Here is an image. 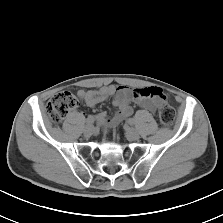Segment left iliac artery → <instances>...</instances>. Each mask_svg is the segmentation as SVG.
<instances>
[{
    "label": "left iliac artery",
    "mask_w": 223,
    "mask_h": 223,
    "mask_svg": "<svg viewBox=\"0 0 223 223\" xmlns=\"http://www.w3.org/2000/svg\"><path fill=\"white\" fill-rule=\"evenodd\" d=\"M128 122L130 125H136V122L133 118L129 119Z\"/></svg>",
    "instance_id": "left-iliac-artery-1"
}]
</instances>
